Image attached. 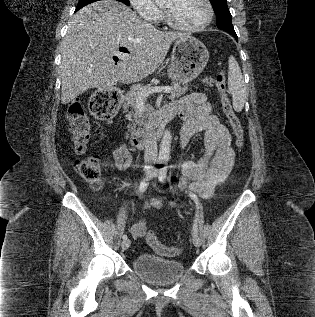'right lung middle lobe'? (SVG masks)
<instances>
[{"label": "right lung middle lobe", "instance_id": "1", "mask_svg": "<svg viewBox=\"0 0 315 317\" xmlns=\"http://www.w3.org/2000/svg\"><path fill=\"white\" fill-rule=\"evenodd\" d=\"M96 1H99V0H79L76 10H79L82 7H84L90 3L96 2ZM116 1H120L128 6L130 5L129 0H116Z\"/></svg>", "mask_w": 315, "mask_h": 317}]
</instances>
